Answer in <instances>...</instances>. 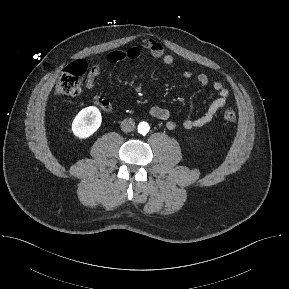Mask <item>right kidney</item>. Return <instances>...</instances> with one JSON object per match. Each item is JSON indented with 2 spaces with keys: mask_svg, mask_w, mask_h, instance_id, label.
<instances>
[{
  "mask_svg": "<svg viewBox=\"0 0 289 289\" xmlns=\"http://www.w3.org/2000/svg\"><path fill=\"white\" fill-rule=\"evenodd\" d=\"M101 122L102 116L99 109L95 106L86 107L74 118L72 132L76 137L86 139L99 129Z\"/></svg>",
  "mask_w": 289,
  "mask_h": 289,
  "instance_id": "right-kidney-1",
  "label": "right kidney"
}]
</instances>
